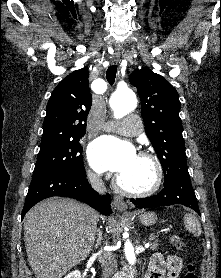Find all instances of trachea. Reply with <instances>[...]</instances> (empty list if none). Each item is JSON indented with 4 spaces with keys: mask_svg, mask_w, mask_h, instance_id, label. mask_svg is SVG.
Segmentation results:
<instances>
[{
    "mask_svg": "<svg viewBox=\"0 0 221 278\" xmlns=\"http://www.w3.org/2000/svg\"><path fill=\"white\" fill-rule=\"evenodd\" d=\"M116 73H117L116 65H111L108 67V69L106 71V79L110 85L114 84L115 78H116Z\"/></svg>",
    "mask_w": 221,
    "mask_h": 278,
    "instance_id": "1",
    "label": "trachea"
}]
</instances>
